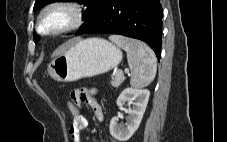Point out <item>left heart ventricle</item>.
I'll return each instance as SVG.
<instances>
[{"label": "left heart ventricle", "instance_id": "obj_1", "mask_svg": "<svg viewBox=\"0 0 227 142\" xmlns=\"http://www.w3.org/2000/svg\"><path fill=\"white\" fill-rule=\"evenodd\" d=\"M70 22V14L64 10H54L48 13L43 21L42 29L51 31L60 29Z\"/></svg>", "mask_w": 227, "mask_h": 142}]
</instances>
